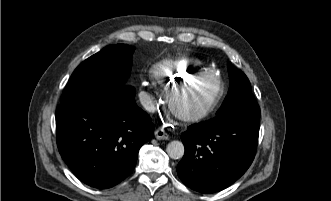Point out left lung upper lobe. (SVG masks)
Here are the masks:
<instances>
[{"mask_svg": "<svg viewBox=\"0 0 331 201\" xmlns=\"http://www.w3.org/2000/svg\"><path fill=\"white\" fill-rule=\"evenodd\" d=\"M230 89L218 115L234 110L258 107L247 76L228 63Z\"/></svg>", "mask_w": 331, "mask_h": 201, "instance_id": "5c2ea615", "label": "left lung upper lobe"}]
</instances>
